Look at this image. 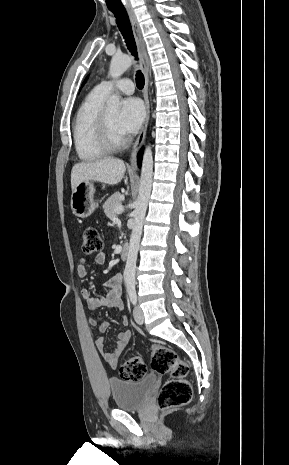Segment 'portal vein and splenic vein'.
Instances as JSON below:
<instances>
[{"label":"portal vein and splenic vein","instance_id":"portal-vein-and-splenic-vein-1","mask_svg":"<svg viewBox=\"0 0 289 465\" xmlns=\"http://www.w3.org/2000/svg\"><path fill=\"white\" fill-rule=\"evenodd\" d=\"M123 211H124V207H123L122 205L119 206V207L115 210V212H116L117 214H121Z\"/></svg>","mask_w":289,"mask_h":465}]
</instances>
